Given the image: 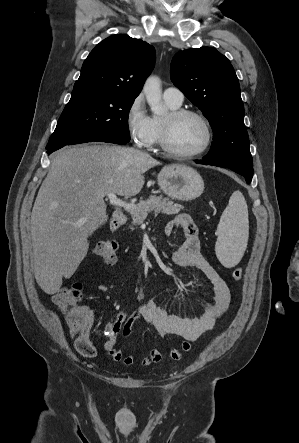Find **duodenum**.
Segmentation results:
<instances>
[{
    "label": "duodenum",
    "instance_id": "duodenum-1",
    "mask_svg": "<svg viewBox=\"0 0 299 443\" xmlns=\"http://www.w3.org/2000/svg\"><path fill=\"white\" fill-rule=\"evenodd\" d=\"M126 222V216L123 212L117 211L113 214L110 220V228L112 230H117L120 226H122Z\"/></svg>",
    "mask_w": 299,
    "mask_h": 443
}]
</instances>
